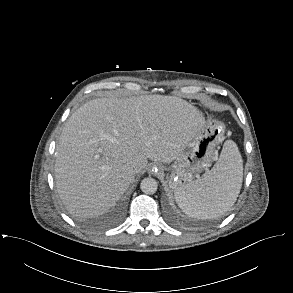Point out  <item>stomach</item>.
Returning <instances> with one entry per match:
<instances>
[{
    "mask_svg": "<svg viewBox=\"0 0 293 293\" xmlns=\"http://www.w3.org/2000/svg\"><path fill=\"white\" fill-rule=\"evenodd\" d=\"M225 127L220 121L208 116L204 125L185 150L172 161L169 170V187L176 192L200 179L216 156V148L222 142Z\"/></svg>",
    "mask_w": 293,
    "mask_h": 293,
    "instance_id": "1",
    "label": "stomach"
}]
</instances>
